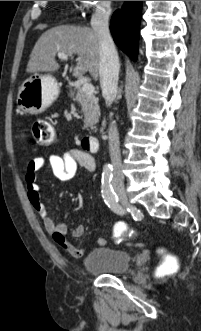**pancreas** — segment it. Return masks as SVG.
I'll use <instances>...</instances> for the list:
<instances>
[{
	"instance_id": "1",
	"label": "pancreas",
	"mask_w": 201,
	"mask_h": 331,
	"mask_svg": "<svg viewBox=\"0 0 201 331\" xmlns=\"http://www.w3.org/2000/svg\"><path fill=\"white\" fill-rule=\"evenodd\" d=\"M76 101L81 106L84 128L92 129L98 122L100 116L98 98L94 94H86L82 89H79L77 92Z\"/></svg>"
}]
</instances>
